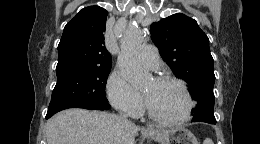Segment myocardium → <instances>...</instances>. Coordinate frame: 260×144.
Listing matches in <instances>:
<instances>
[{"instance_id": "f54148a6", "label": "myocardium", "mask_w": 260, "mask_h": 144, "mask_svg": "<svg viewBox=\"0 0 260 144\" xmlns=\"http://www.w3.org/2000/svg\"><path fill=\"white\" fill-rule=\"evenodd\" d=\"M153 81L158 84L173 83V84L178 85L182 89L183 93L185 94V97L188 102V106H187V111L182 118H179V119L166 118L164 116L157 114L151 108L147 99L144 97L145 107H146V111H147V114L149 115V117L160 123L170 124V125H181V124L188 122L191 119L195 104H194V100L191 95V92H190L188 86L186 85V83L179 78L171 77V76H159V77H156Z\"/></svg>"}]
</instances>
